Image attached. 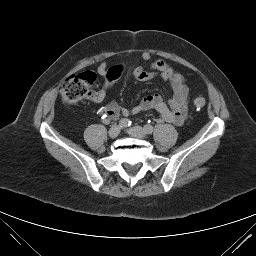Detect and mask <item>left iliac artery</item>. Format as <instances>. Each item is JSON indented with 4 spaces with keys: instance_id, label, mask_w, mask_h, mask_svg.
I'll return each instance as SVG.
<instances>
[{
    "instance_id": "44dca946",
    "label": "left iliac artery",
    "mask_w": 256,
    "mask_h": 256,
    "mask_svg": "<svg viewBox=\"0 0 256 256\" xmlns=\"http://www.w3.org/2000/svg\"><path fill=\"white\" fill-rule=\"evenodd\" d=\"M153 130H154V128H153V126L151 124H146L144 126V131L147 134H151L153 132Z\"/></svg>"
}]
</instances>
